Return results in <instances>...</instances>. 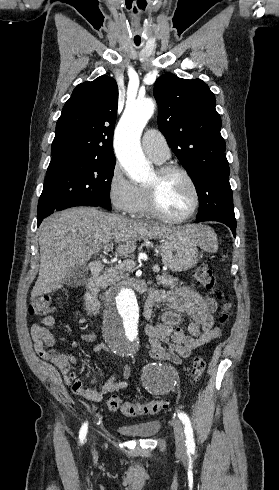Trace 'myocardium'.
I'll return each mask as SVG.
<instances>
[{
  "label": "myocardium",
  "mask_w": 279,
  "mask_h": 490,
  "mask_svg": "<svg viewBox=\"0 0 279 490\" xmlns=\"http://www.w3.org/2000/svg\"><path fill=\"white\" fill-rule=\"evenodd\" d=\"M171 173H178V174L182 175L183 177H185V179L190 184V186L193 190V193H194V201H193V204H192V207L190 208V210L186 214H184L183 216H179V217H173V216L168 215L161 208V206L159 204V199H158L159 186H158V183L150 184L147 186L148 206H149V211L153 216H155V217H157V218H159L165 222L181 223V222H184V221L188 220L189 218H191L196 213V211L198 210L199 205H200V201H201L200 190H199V187H198L195 179L190 174V172L187 169H185L184 167H182L181 165L165 164V165L160 166L157 169V174L159 176V179H161L162 177H164L168 174H171Z\"/></svg>",
  "instance_id": "obj_1"
}]
</instances>
